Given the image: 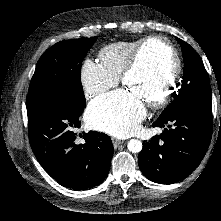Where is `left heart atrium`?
<instances>
[{"label":"left heart atrium","instance_id":"left-heart-atrium-1","mask_svg":"<svg viewBox=\"0 0 221 221\" xmlns=\"http://www.w3.org/2000/svg\"><path fill=\"white\" fill-rule=\"evenodd\" d=\"M145 115L144 102L127 88L102 95L87 110L91 126L118 138L133 134Z\"/></svg>","mask_w":221,"mask_h":221}]
</instances>
